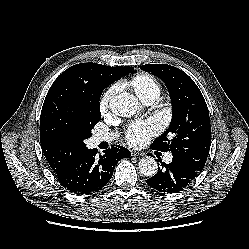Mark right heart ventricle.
<instances>
[{
	"instance_id": "1",
	"label": "right heart ventricle",
	"mask_w": 249,
	"mask_h": 249,
	"mask_svg": "<svg viewBox=\"0 0 249 249\" xmlns=\"http://www.w3.org/2000/svg\"><path fill=\"white\" fill-rule=\"evenodd\" d=\"M125 85L132 88L144 102L151 98L157 99L162 91L160 81L152 74L146 72L135 74L125 82Z\"/></svg>"
}]
</instances>
